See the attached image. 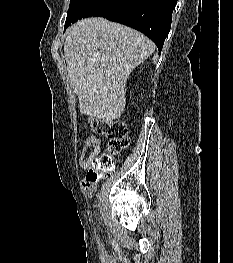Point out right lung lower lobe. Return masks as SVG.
<instances>
[{"instance_id":"1","label":"right lung lower lobe","mask_w":233,"mask_h":263,"mask_svg":"<svg viewBox=\"0 0 233 263\" xmlns=\"http://www.w3.org/2000/svg\"><path fill=\"white\" fill-rule=\"evenodd\" d=\"M176 3L177 0H122L111 14L102 17L144 33L154 41L160 53L170 31Z\"/></svg>"}]
</instances>
